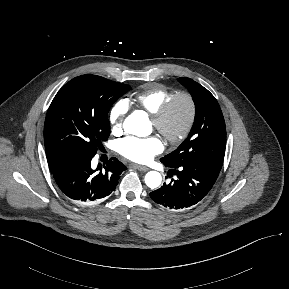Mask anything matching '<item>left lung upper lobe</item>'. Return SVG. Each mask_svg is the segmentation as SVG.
<instances>
[{"label":"left lung upper lobe","mask_w":289,"mask_h":289,"mask_svg":"<svg viewBox=\"0 0 289 289\" xmlns=\"http://www.w3.org/2000/svg\"><path fill=\"white\" fill-rule=\"evenodd\" d=\"M178 81L188 88L195 106L194 125L188 137L172 153L161 158L171 167L184 164H209L222 167L226 148L225 121L215 97L187 77Z\"/></svg>","instance_id":"left-lung-upper-lobe-1"}]
</instances>
